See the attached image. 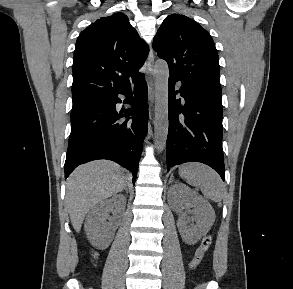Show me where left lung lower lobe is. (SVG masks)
<instances>
[{
  "label": "left lung lower lobe",
  "mask_w": 293,
  "mask_h": 289,
  "mask_svg": "<svg viewBox=\"0 0 293 289\" xmlns=\"http://www.w3.org/2000/svg\"><path fill=\"white\" fill-rule=\"evenodd\" d=\"M176 81L182 82L179 91H175ZM168 90L167 169L196 161L212 167L224 180L221 91L173 75L169 77ZM178 93L185 103L176 99Z\"/></svg>",
  "instance_id": "0a47b994"
}]
</instances>
